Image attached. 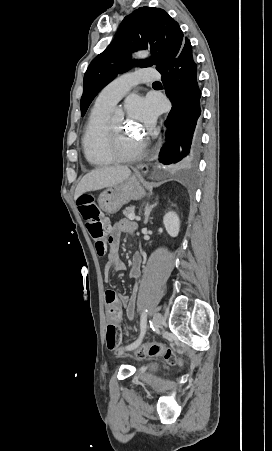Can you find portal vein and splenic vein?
Returning <instances> with one entry per match:
<instances>
[{"label":"portal vein and splenic vein","instance_id":"18ae733b","mask_svg":"<svg viewBox=\"0 0 272 451\" xmlns=\"http://www.w3.org/2000/svg\"><path fill=\"white\" fill-rule=\"evenodd\" d=\"M129 220H135V214H129L128 216ZM140 220V218H138Z\"/></svg>","mask_w":272,"mask_h":451}]
</instances>
